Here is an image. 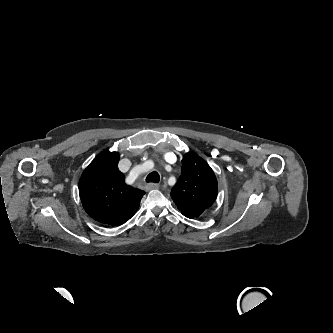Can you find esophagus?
<instances>
[{
    "mask_svg": "<svg viewBox=\"0 0 333 333\" xmlns=\"http://www.w3.org/2000/svg\"><path fill=\"white\" fill-rule=\"evenodd\" d=\"M158 188H159V184H157V183H149L146 186L147 190L158 189Z\"/></svg>",
    "mask_w": 333,
    "mask_h": 333,
    "instance_id": "34e87169",
    "label": "esophagus"
}]
</instances>
